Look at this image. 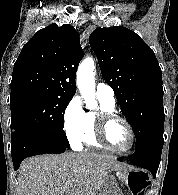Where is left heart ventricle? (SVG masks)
<instances>
[{"label":"left heart ventricle","instance_id":"1","mask_svg":"<svg viewBox=\"0 0 178 195\" xmlns=\"http://www.w3.org/2000/svg\"><path fill=\"white\" fill-rule=\"evenodd\" d=\"M107 139L113 147L118 149H126L131 143V137L126 126L118 121L109 125Z\"/></svg>","mask_w":178,"mask_h":195}]
</instances>
